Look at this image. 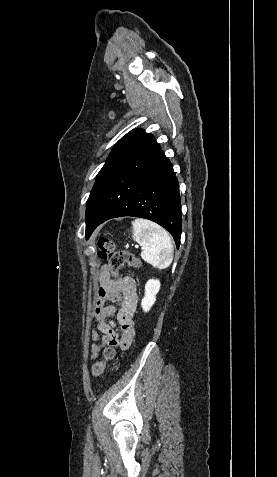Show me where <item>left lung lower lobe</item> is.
Wrapping results in <instances>:
<instances>
[{
  "mask_svg": "<svg viewBox=\"0 0 277 477\" xmlns=\"http://www.w3.org/2000/svg\"><path fill=\"white\" fill-rule=\"evenodd\" d=\"M133 216L152 220L180 245L182 218L178 180L155 138L137 150L109 178L86 222L88 239L104 221Z\"/></svg>",
  "mask_w": 277,
  "mask_h": 477,
  "instance_id": "left-lung-lower-lobe-1",
  "label": "left lung lower lobe"
}]
</instances>
